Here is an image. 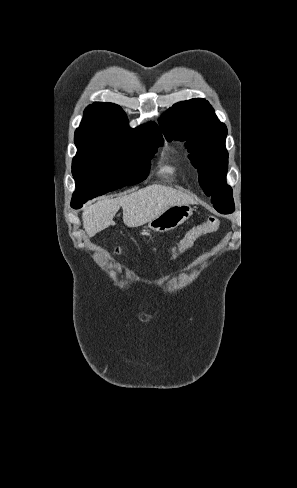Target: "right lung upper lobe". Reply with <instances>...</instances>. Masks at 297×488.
<instances>
[{"mask_svg": "<svg viewBox=\"0 0 297 488\" xmlns=\"http://www.w3.org/2000/svg\"><path fill=\"white\" fill-rule=\"evenodd\" d=\"M142 131H149L162 137L154 122L132 129L128 126V118L120 106L95 102L85 109L81 125L75 132L74 141L76 146L81 147L99 143L104 139L131 137Z\"/></svg>", "mask_w": 297, "mask_h": 488, "instance_id": "right-lung-upper-lobe-1", "label": "right lung upper lobe"}]
</instances>
